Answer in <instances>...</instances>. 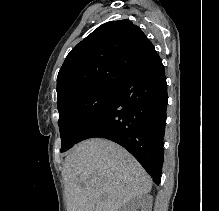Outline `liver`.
Returning <instances> with one entry per match:
<instances>
[{"instance_id":"liver-1","label":"liver","mask_w":219,"mask_h":211,"mask_svg":"<svg viewBox=\"0 0 219 211\" xmlns=\"http://www.w3.org/2000/svg\"><path fill=\"white\" fill-rule=\"evenodd\" d=\"M63 181L68 211H120L132 197L152 189L139 161L104 137L77 143L65 157Z\"/></svg>"}]
</instances>
